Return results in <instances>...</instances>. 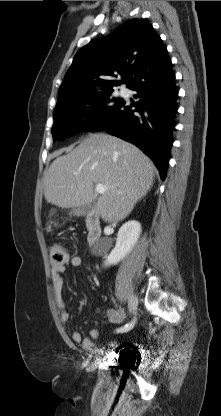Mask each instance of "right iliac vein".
I'll list each match as a JSON object with an SVG mask.
<instances>
[{
  "label": "right iliac vein",
  "instance_id": "obj_1",
  "mask_svg": "<svg viewBox=\"0 0 221 416\" xmlns=\"http://www.w3.org/2000/svg\"><path fill=\"white\" fill-rule=\"evenodd\" d=\"M138 298L135 295H132L129 300V309L130 312L134 313L137 310Z\"/></svg>",
  "mask_w": 221,
  "mask_h": 416
}]
</instances>
